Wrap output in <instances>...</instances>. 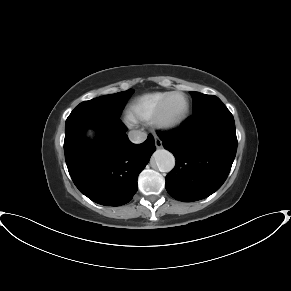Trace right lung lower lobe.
<instances>
[{
	"label": "right lung lower lobe",
	"instance_id": "right-lung-lower-lobe-1",
	"mask_svg": "<svg viewBox=\"0 0 291 291\" xmlns=\"http://www.w3.org/2000/svg\"><path fill=\"white\" fill-rule=\"evenodd\" d=\"M97 135L87 140L84 132ZM117 117L71 112L65 123L64 152L69 174L81 193L106 206L128 203L138 189L137 178L155 151L154 139L133 144Z\"/></svg>",
	"mask_w": 291,
	"mask_h": 291
}]
</instances>
